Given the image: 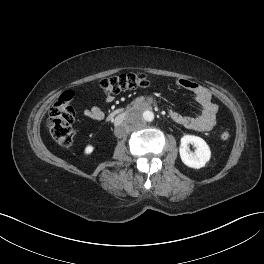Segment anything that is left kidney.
Here are the masks:
<instances>
[{
  "mask_svg": "<svg viewBox=\"0 0 264 264\" xmlns=\"http://www.w3.org/2000/svg\"><path fill=\"white\" fill-rule=\"evenodd\" d=\"M190 144L196 147L194 153L189 149ZM179 153L182 162L195 169L204 167L211 158V151L205 140L194 135H184L181 138Z\"/></svg>",
  "mask_w": 264,
  "mask_h": 264,
  "instance_id": "left-kidney-1",
  "label": "left kidney"
}]
</instances>
